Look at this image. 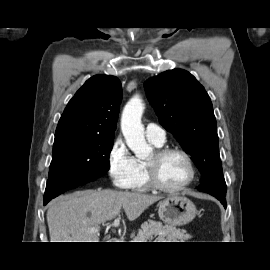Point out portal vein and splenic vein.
Here are the masks:
<instances>
[{"label": "portal vein and splenic vein", "mask_w": 270, "mask_h": 270, "mask_svg": "<svg viewBox=\"0 0 270 270\" xmlns=\"http://www.w3.org/2000/svg\"><path fill=\"white\" fill-rule=\"evenodd\" d=\"M113 227H119L120 226V219L115 218V220L112 222ZM92 231L97 232L99 231V228H93Z\"/></svg>", "instance_id": "18ae733b"}]
</instances>
